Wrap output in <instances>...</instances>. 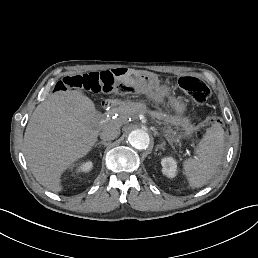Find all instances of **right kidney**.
I'll return each mask as SVG.
<instances>
[{
  "mask_svg": "<svg viewBox=\"0 0 258 258\" xmlns=\"http://www.w3.org/2000/svg\"><path fill=\"white\" fill-rule=\"evenodd\" d=\"M93 168V163L91 161H87L82 163L79 167L76 169V173L80 172H89Z\"/></svg>",
  "mask_w": 258,
  "mask_h": 258,
  "instance_id": "obj_1",
  "label": "right kidney"
}]
</instances>
